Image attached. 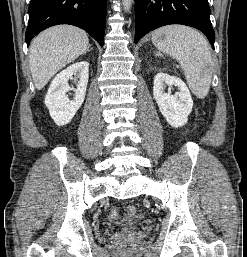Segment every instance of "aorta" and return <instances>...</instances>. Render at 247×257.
Wrapping results in <instances>:
<instances>
[{
  "label": "aorta",
  "mask_w": 247,
  "mask_h": 257,
  "mask_svg": "<svg viewBox=\"0 0 247 257\" xmlns=\"http://www.w3.org/2000/svg\"><path fill=\"white\" fill-rule=\"evenodd\" d=\"M133 0H122V5L124 7V10L126 12L130 11L131 5H132Z\"/></svg>",
  "instance_id": "762f6f07"
}]
</instances>
